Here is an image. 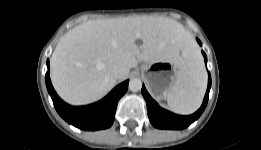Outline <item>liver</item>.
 <instances>
[{
	"label": "liver",
	"instance_id": "obj_1",
	"mask_svg": "<svg viewBox=\"0 0 261 150\" xmlns=\"http://www.w3.org/2000/svg\"><path fill=\"white\" fill-rule=\"evenodd\" d=\"M137 39L142 40L141 46L136 44ZM195 48L190 34L170 18L89 20L67 32L56 46L51 57V79L64 101L88 104L115 86L117 79L111 72L115 65H124L130 71L139 61H169L183 69L189 61V50Z\"/></svg>",
	"mask_w": 261,
	"mask_h": 150
}]
</instances>
